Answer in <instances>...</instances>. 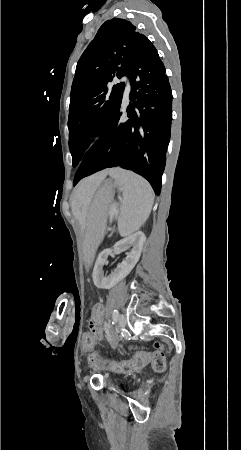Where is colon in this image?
Returning a JSON list of instances; mask_svg holds the SVG:
<instances>
[{"label":"colon","instance_id":"colon-1","mask_svg":"<svg viewBox=\"0 0 241 450\" xmlns=\"http://www.w3.org/2000/svg\"><path fill=\"white\" fill-rule=\"evenodd\" d=\"M95 334L93 331H86L84 336L82 337V344L86 348H91L94 344ZM154 346L159 349V344L157 342L154 343ZM160 352H154L152 355L150 353L139 354L135 358L123 363L117 364L116 362L112 363L111 368L115 371L123 372V373H133L139 369H141L147 361L154 362L155 371L160 373L165 369V358L168 356L167 350L162 346L160 348ZM99 351L94 350L91 351L88 357H86V362H94L95 359L99 357ZM146 357V358H145ZM109 365V364H108Z\"/></svg>","mask_w":241,"mask_h":450}]
</instances>
